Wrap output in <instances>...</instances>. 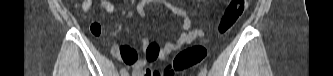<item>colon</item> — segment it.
Returning <instances> with one entry per match:
<instances>
[{"mask_svg": "<svg viewBox=\"0 0 333 76\" xmlns=\"http://www.w3.org/2000/svg\"><path fill=\"white\" fill-rule=\"evenodd\" d=\"M246 0H231L221 16L217 25V32L219 35H226L232 29L239 17L246 9ZM207 50L202 45H195L188 47L180 52L173 61L167 65L163 72L167 76H173L175 73L182 72L190 67L200 64L206 57ZM151 69H146L147 76H149Z\"/></svg>", "mask_w": 333, "mask_h": 76, "instance_id": "1", "label": "colon"}]
</instances>
